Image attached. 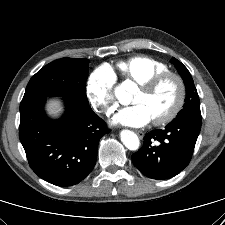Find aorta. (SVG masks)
Instances as JSON below:
<instances>
[{
    "instance_id": "1",
    "label": "aorta",
    "mask_w": 225,
    "mask_h": 225,
    "mask_svg": "<svg viewBox=\"0 0 225 225\" xmlns=\"http://www.w3.org/2000/svg\"><path fill=\"white\" fill-rule=\"evenodd\" d=\"M135 88V83L126 80L116 88L115 95L121 103L130 102L132 93ZM120 138L122 143L129 150L135 151L139 148L140 141L138 136L134 132L130 130H123L120 133Z\"/></svg>"
}]
</instances>
